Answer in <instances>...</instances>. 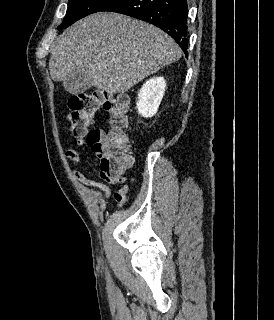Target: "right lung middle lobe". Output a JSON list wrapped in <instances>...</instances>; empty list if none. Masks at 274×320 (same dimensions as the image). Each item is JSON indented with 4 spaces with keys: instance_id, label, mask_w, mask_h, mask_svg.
<instances>
[{
    "instance_id": "obj_1",
    "label": "right lung middle lobe",
    "mask_w": 274,
    "mask_h": 320,
    "mask_svg": "<svg viewBox=\"0 0 274 320\" xmlns=\"http://www.w3.org/2000/svg\"><path fill=\"white\" fill-rule=\"evenodd\" d=\"M114 1L116 0H69L66 16L58 29L66 28L89 14L102 11Z\"/></svg>"
}]
</instances>
